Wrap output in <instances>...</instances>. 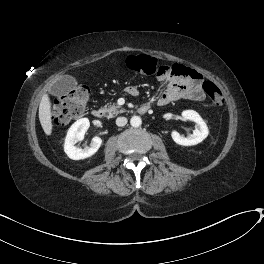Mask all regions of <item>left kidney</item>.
Listing matches in <instances>:
<instances>
[{"label": "left kidney", "mask_w": 264, "mask_h": 264, "mask_svg": "<svg viewBox=\"0 0 264 264\" xmlns=\"http://www.w3.org/2000/svg\"><path fill=\"white\" fill-rule=\"evenodd\" d=\"M182 117L186 120H191L195 123V130L193 134L184 137L177 131L171 132V137L179 145L192 146L202 142L208 136V127L201 116L194 110H185L182 112Z\"/></svg>", "instance_id": "left-kidney-1"}]
</instances>
